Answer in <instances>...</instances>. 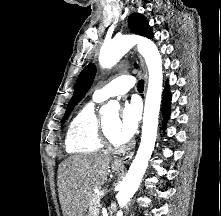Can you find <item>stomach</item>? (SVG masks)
I'll return each mask as SVG.
<instances>
[{
    "label": "stomach",
    "mask_w": 221,
    "mask_h": 216,
    "mask_svg": "<svg viewBox=\"0 0 221 216\" xmlns=\"http://www.w3.org/2000/svg\"><path fill=\"white\" fill-rule=\"evenodd\" d=\"M113 169L116 170V171L118 170V168H116V167H113ZM85 216H87V215H85Z\"/></svg>",
    "instance_id": "0dacf381"
}]
</instances>
